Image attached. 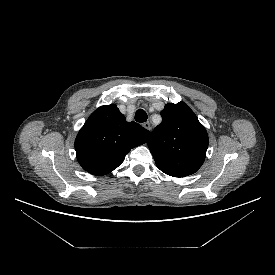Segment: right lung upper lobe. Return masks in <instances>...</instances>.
I'll list each match as a JSON object with an SVG mask.
<instances>
[{
    "instance_id": "right-lung-upper-lobe-1",
    "label": "right lung upper lobe",
    "mask_w": 275,
    "mask_h": 275,
    "mask_svg": "<svg viewBox=\"0 0 275 275\" xmlns=\"http://www.w3.org/2000/svg\"><path fill=\"white\" fill-rule=\"evenodd\" d=\"M150 132L128 123L116 105L101 106L87 119L75 140L77 160L84 170L106 175L117 168L134 147L147 142Z\"/></svg>"
}]
</instances>
